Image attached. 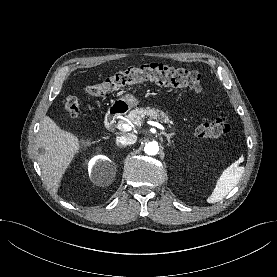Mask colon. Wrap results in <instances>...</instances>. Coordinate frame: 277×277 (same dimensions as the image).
<instances>
[{
    "label": "colon",
    "instance_id": "obj_1",
    "mask_svg": "<svg viewBox=\"0 0 277 277\" xmlns=\"http://www.w3.org/2000/svg\"><path fill=\"white\" fill-rule=\"evenodd\" d=\"M141 82H154L158 85L175 88H189L198 93L203 91V81L198 72L174 69L157 63L122 71L105 79L101 83L88 86L86 91L92 96H101L127 85ZM64 109L69 117H77L80 109L78 98L74 95H69L66 98ZM230 128L228 119L222 116L213 121L206 119L199 120L195 132L200 137L217 138L228 133Z\"/></svg>",
    "mask_w": 277,
    "mask_h": 277
}]
</instances>
